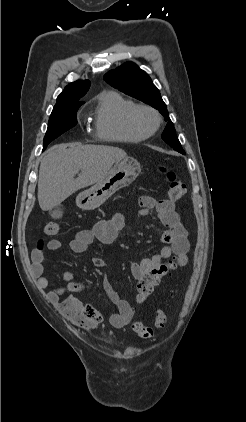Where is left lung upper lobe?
Instances as JSON below:
<instances>
[{
	"label": "left lung upper lobe",
	"instance_id": "obj_1",
	"mask_svg": "<svg viewBox=\"0 0 246 422\" xmlns=\"http://www.w3.org/2000/svg\"><path fill=\"white\" fill-rule=\"evenodd\" d=\"M104 79L121 92L159 110L165 120L168 121L162 133V139L174 150L185 154L176 136L174 125L169 118L166 104L163 102L159 90L145 71L141 70L136 64L127 62L105 74Z\"/></svg>",
	"mask_w": 246,
	"mask_h": 422
}]
</instances>
